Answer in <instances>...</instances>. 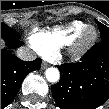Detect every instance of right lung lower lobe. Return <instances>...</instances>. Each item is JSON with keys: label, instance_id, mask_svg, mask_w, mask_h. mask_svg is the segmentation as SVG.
<instances>
[{"label": "right lung lower lobe", "instance_id": "98d812e1", "mask_svg": "<svg viewBox=\"0 0 109 109\" xmlns=\"http://www.w3.org/2000/svg\"><path fill=\"white\" fill-rule=\"evenodd\" d=\"M1 38L6 44V49H1V109H3L14 100L27 74L40 68L41 59L31 62L20 60L11 49L20 47L23 42L2 34Z\"/></svg>", "mask_w": 109, "mask_h": 109}]
</instances>
